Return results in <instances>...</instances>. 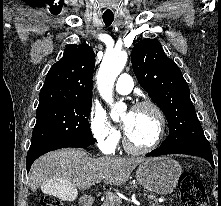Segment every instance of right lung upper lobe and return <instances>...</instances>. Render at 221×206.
I'll return each instance as SVG.
<instances>
[{"label": "right lung upper lobe", "instance_id": "1", "mask_svg": "<svg viewBox=\"0 0 221 206\" xmlns=\"http://www.w3.org/2000/svg\"><path fill=\"white\" fill-rule=\"evenodd\" d=\"M95 54L86 43L69 45L49 70L39 94L38 108L92 103Z\"/></svg>", "mask_w": 221, "mask_h": 206}]
</instances>
